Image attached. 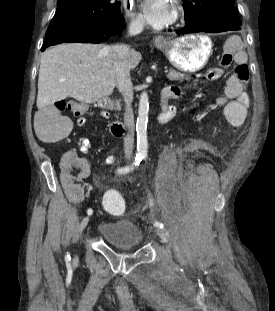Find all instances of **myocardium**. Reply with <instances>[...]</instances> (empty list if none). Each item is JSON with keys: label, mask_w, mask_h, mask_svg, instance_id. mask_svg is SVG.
<instances>
[{"label": "myocardium", "mask_w": 275, "mask_h": 311, "mask_svg": "<svg viewBox=\"0 0 275 311\" xmlns=\"http://www.w3.org/2000/svg\"><path fill=\"white\" fill-rule=\"evenodd\" d=\"M182 14H183L182 9L180 7H176L174 13V22L178 21L181 18Z\"/></svg>", "instance_id": "myocardium-1"}]
</instances>
